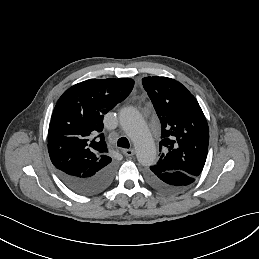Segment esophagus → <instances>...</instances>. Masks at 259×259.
<instances>
[{
	"mask_svg": "<svg viewBox=\"0 0 259 259\" xmlns=\"http://www.w3.org/2000/svg\"><path fill=\"white\" fill-rule=\"evenodd\" d=\"M122 153L125 156H133V155H135V150L134 149H123Z\"/></svg>",
	"mask_w": 259,
	"mask_h": 259,
	"instance_id": "34e87169",
	"label": "esophagus"
}]
</instances>
